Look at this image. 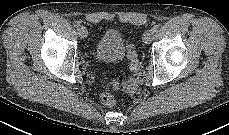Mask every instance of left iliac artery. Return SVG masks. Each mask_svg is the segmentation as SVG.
Segmentation results:
<instances>
[{"label": "left iliac artery", "instance_id": "left-iliac-artery-1", "mask_svg": "<svg viewBox=\"0 0 229 135\" xmlns=\"http://www.w3.org/2000/svg\"><path fill=\"white\" fill-rule=\"evenodd\" d=\"M159 30V25H154V27L152 28L153 32H157Z\"/></svg>", "mask_w": 229, "mask_h": 135}]
</instances>
